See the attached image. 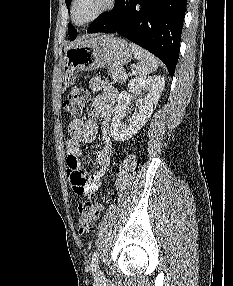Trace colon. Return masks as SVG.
I'll return each mask as SVG.
<instances>
[{
  "instance_id": "1",
  "label": "colon",
  "mask_w": 233,
  "mask_h": 286,
  "mask_svg": "<svg viewBox=\"0 0 233 286\" xmlns=\"http://www.w3.org/2000/svg\"><path fill=\"white\" fill-rule=\"evenodd\" d=\"M88 99L89 93L86 89L75 88L70 91L65 99L64 109L70 116L77 119L83 113ZM104 200L105 197L101 196L99 200L85 201L78 206V228L80 234H86L91 230L95 220L103 210Z\"/></svg>"
}]
</instances>
